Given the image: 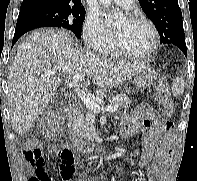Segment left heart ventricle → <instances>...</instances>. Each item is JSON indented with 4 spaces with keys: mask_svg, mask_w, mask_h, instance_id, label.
I'll list each match as a JSON object with an SVG mask.
<instances>
[{
    "mask_svg": "<svg viewBox=\"0 0 197 181\" xmlns=\"http://www.w3.org/2000/svg\"><path fill=\"white\" fill-rule=\"evenodd\" d=\"M113 31L119 43L128 51L143 53L151 46L152 34L144 24L123 20Z\"/></svg>",
    "mask_w": 197,
    "mask_h": 181,
    "instance_id": "1",
    "label": "left heart ventricle"
}]
</instances>
